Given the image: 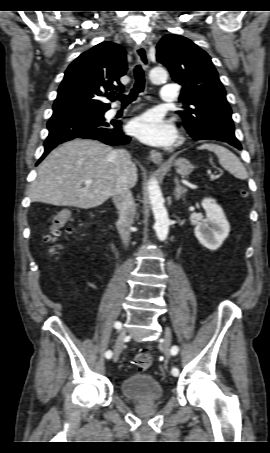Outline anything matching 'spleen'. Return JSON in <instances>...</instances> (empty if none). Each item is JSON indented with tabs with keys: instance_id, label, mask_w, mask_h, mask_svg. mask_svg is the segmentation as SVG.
<instances>
[{
	"instance_id": "1",
	"label": "spleen",
	"mask_w": 270,
	"mask_h": 453,
	"mask_svg": "<svg viewBox=\"0 0 270 453\" xmlns=\"http://www.w3.org/2000/svg\"><path fill=\"white\" fill-rule=\"evenodd\" d=\"M198 149H206L214 152L220 165L238 179L245 180L248 177L247 171L239 158L227 148L217 144H203Z\"/></svg>"
}]
</instances>
